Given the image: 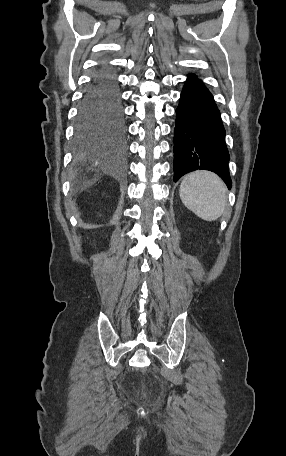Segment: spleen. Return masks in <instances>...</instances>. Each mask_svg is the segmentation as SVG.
<instances>
[{"mask_svg":"<svg viewBox=\"0 0 286 456\" xmlns=\"http://www.w3.org/2000/svg\"><path fill=\"white\" fill-rule=\"evenodd\" d=\"M179 193L183 204L205 221L221 217L228 205L225 183L209 171L187 174L181 182Z\"/></svg>","mask_w":286,"mask_h":456,"instance_id":"spleen-1","label":"spleen"}]
</instances>
